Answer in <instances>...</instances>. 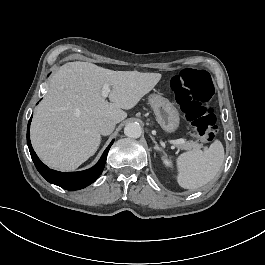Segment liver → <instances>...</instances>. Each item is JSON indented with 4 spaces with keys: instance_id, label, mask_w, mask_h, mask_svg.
Returning a JSON list of instances; mask_svg holds the SVG:
<instances>
[{
    "instance_id": "liver-1",
    "label": "liver",
    "mask_w": 265,
    "mask_h": 265,
    "mask_svg": "<svg viewBox=\"0 0 265 265\" xmlns=\"http://www.w3.org/2000/svg\"><path fill=\"white\" fill-rule=\"evenodd\" d=\"M160 73L113 71L88 62H68L53 75L37 107L31 140L49 167L74 170L98 149V119L119 123L160 81ZM104 85L112 88L108 102Z\"/></svg>"
}]
</instances>
